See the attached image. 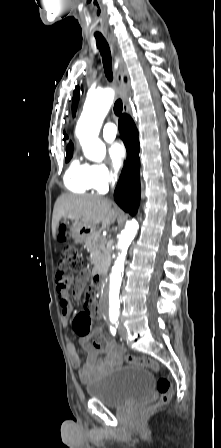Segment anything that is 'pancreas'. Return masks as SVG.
<instances>
[{
	"label": "pancreas",
	"instance_id": "cf45deb5",
	"mask_svg": "<svg viewBox=\"0 0 221 448\" xmlns=\"http://www.w3.org/2000/svg\"><path fill=\"white\" fill-rule=\"evenodd\" d=\"M87 251L91 254L94 271L102 273L110 265V254L106 249V239L99 232H94L85 241Z\"/></svg>",
	"mask_w": 221,
	"mask_h": 448
}]
</instances>
